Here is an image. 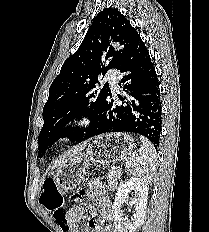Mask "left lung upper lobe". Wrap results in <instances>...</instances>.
Masks as SVG:
<instances>
[{
  "instance_id": "5c2ea615",
  "label": "left lung upper lobe",
  "mask_w": 209,
  "mask_h": 232,
  "mask_svg": "<svg viewBox=\"0 0 209 232\" xmlns=\"http://www.w3.org/2000/svg\"><path fill=\"white\" fill-rule=\"evenodd\" d=\"M110 39L124 45L122 52L109 46ZM138 39L136 29L117 9L106 8L97 14L80 47L64 62L49 88L38 137L39 155L59 138L68 137L76 143L84 140L111 95L109 85L99 87L98 79L110 68L118 70ZM104 61H108V67ZM81 117L91 120L88 127L64 128Z\"/></svg>"
}]
</instances>
